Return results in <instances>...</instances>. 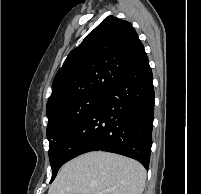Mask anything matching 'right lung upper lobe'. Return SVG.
<instances>
[{"label": "right lung upper lobe", "mask_w": 201, "mask_h": 194, "mask_svg": "<svg viewBox=\"0 0 201 194\" xmlns=\"http://www.w3.org/2000/svg\"><path fill=\"white\" fill-rule=\"evenodd\" d=\"M146 58L131 23L106 17L69 53L57 72L47 113L83 97L104 95Z\"/></svg>", "instance_id": "right-lung-upper-lobe-1"}]
</instances>
